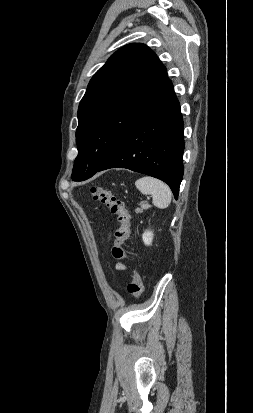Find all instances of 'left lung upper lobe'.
<instances>
[{"label":"left lung upper lobe","mask_w":253,"mask_h":413,"mask_svg":"<svg viewBox=\"0 0 253 413\" xmlns=\"http://www.w3.org/2000/svg\"><path fill=\"white\" fill-rule=\"evenodd\" d=\"M170 83L166 68L146 45L116 51L94 74L79 104L72 179L83 181L95 173Z\"/></svg>","instance_id":"5c2ea615"}]
</instances>
